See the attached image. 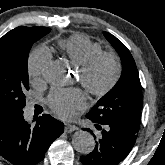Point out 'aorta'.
<instances>
[{"label":"aorta","mask_w":165,"mask_h":165,"mask_svg":"<svg viewBox=\"0 0 165 165\" xmlns=\"http://www.w3.org/2000/svg\"><path fill=\"white\" fill-rule=\"evenodd\" d=\"M66 72V66L63 62L54 61L45 70V76L51 83L63 85L67 82ZM72 145L77 152L88 154L93 151L95 140L89 132L79 130L72 136Z\"/></svg>","instance_id":"762f6f07"}]
</instances>
